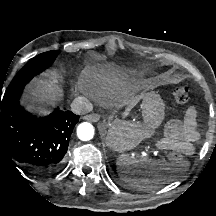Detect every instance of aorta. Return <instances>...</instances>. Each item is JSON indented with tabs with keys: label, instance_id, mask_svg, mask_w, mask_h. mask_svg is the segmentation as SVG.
<instances>
[{
	"label": "aorta",
	"instance_id": "762f6f07",
	"mask_svg": "<svg viewBox=\"0 0 216 216\" xmlns=\"http://www.w3.org/2000/svg\"><path fill=\"white\" fill-rule=\"evenodd\" d=\"M78 138L82 141H89L94 136V127L88 122L81 123L77 128Z\"/></svg>",
	"mask_w": 216,
	"mask_h": 216
}]
</instances>
